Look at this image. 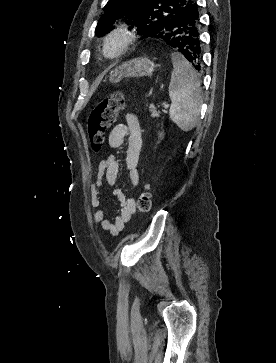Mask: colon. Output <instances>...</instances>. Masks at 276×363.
<instances>
[{
	"label": "colon",
	"instance_id": "obj_1",
	"mask_svg": "<svg viewBox=\"0 0 276 363\" xmlns=\"http://www.w3.org/2000/svg\"><path fill=\"white\" fill-rule=\"evenodd\" d=\"M124 96L121 92H115L101 100L90 112L87 120L88 135L92 148L100 151L104 145L107 130L115 122L119 111L124 108ZM137 207L140 212L147 213L152 207V194L150 187L145 185L141 191Z\"/></svg>",
	"mask_w": 276,
	"mask_h": 363
}]
</instances>
